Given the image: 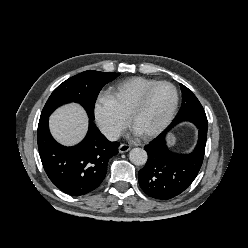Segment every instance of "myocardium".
<instances>
[{
    "label": "myocardium",
    "mask_w": 248,
    "mask_h": 248,
    "mask_svg": "<svg viewBox=\"0 0 248 248\" xmlns=\"http://www.w3.org/2000/svg\"><path fill=\"white\" fill-rule=\"evenodd\" d=\"M162 85L169 86L174 91L173 105H172L171 110H170L169 114L167 115V117L164 119V121L158 127H156L155 129H153L150 132H147L145 134H141V136L145 139H151V138H154V137L160 135L170 125V123L174 119L175 114L177 112L178 103H179V93H178L176 86L174 84H172L171 82H168V81L155 82L154 84H152L150 87H148L140 95L138 100L135 102V104L130 109L128 117H127L129 125L131 127H133L135 117L144 108V106L146 105L147 100H148L149 96L151 95V93L153 92V90L155 88H157L158 86H162Z\"/></svg>",
    "instance_id": "myocardium-1"
}]
</instances>
